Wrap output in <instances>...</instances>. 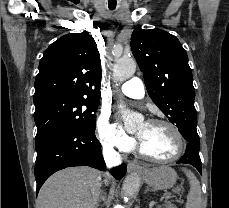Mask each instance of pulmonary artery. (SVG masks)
<instances>
[{
  "label": "pulmonary artery",
  "instance_id": "1",
  "mask_svg": "<svg viewBox=\"0 0 229 208\" xmlns=\"http://www.w3.org/2000/svg\"><path fill=\"white\" fill-rule=\"evenodd\" d=\"M121 91L128 97L141 99L145 94L144 83L141 78L130 76L126 78V81L122 84Z\"/></svg>",
  "mask_w": 229,
  "mask_h": 208
}]
</instances>
